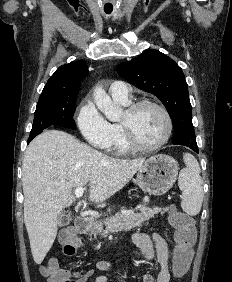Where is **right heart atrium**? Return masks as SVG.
<instances>
[{"mask_svg": "<svg viewBox=\"0 0 232 282\" xmlns=\"http://www.w3.org/2000/svg\"><path fill=\"white\" fill-rule=\"evenodd\" d=\"M76 123L83 138L93 147L108 149L112 139L110 123L101 115L94 103L84 99L77 110Z\"/></svg>", "mask_w": 232, "mask_h": 282, "instance_id": "obj_1", "label": "right heart atrium"}]
</instances>
